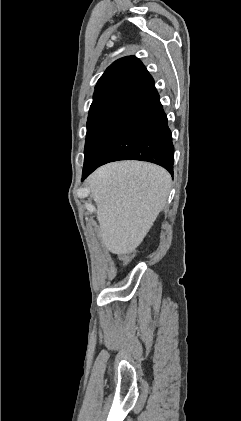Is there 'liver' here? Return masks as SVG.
Here are the masks:
<instances>
[{"label":"liver","instance_id":"6515ba94","mask_svg":"<svg viewBox=\"0 0 241 421\" xmlns=\"http://www.w3.org/2000/svg\"><path fill=\"white\" fill-rule=\"evenodd\" d=\"M88 184L101 242L110 252L123 255L136 249L164 209L171 176L154 164L122 161L98 168Z\"/></svg>","mask_w":241,"mask_h":421}]
</instances>
